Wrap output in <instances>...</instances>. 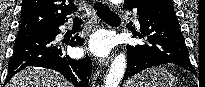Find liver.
<instances>
[{
	"instance_id": "liver-1",
	"label": "liver",
	"mask_w": 205,
	"mask_h": 87,
	"mask_svg": "<svg viewBox=\"0 0 205 87\" xmlns=\"http://www.w3.org/2000/svg\"><path fill=\"white\" fill-rule=\"evenodd\" d=\"M6 87H71V84L56 72L27 68L16 74Z\"/></svg>"
}]
</instances>
